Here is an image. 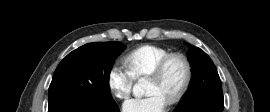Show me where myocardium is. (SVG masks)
<instances>
[{
  "label": "myocardium",
  "instance_id": "myocardium-1",
  "mask_svg": "<svg viewBox=\"0 0 270 112\" xmlns=\"http://www.w3.org/2000/svg\"><path fill=\"white\" fill-rule=\"evenodd\" d=\"M175 59H178L183 62L185 66V78L178 92L167 102L168 105H175L179 103L186 95L190 87L193 77V69L190 60L184 54L170 53L169 55L164 57L155 67V69L148 75V79L161 80L165 75V72L169 64Z\"/></svg>",
  "mask_w": 270,
  "mask_h": 112
}]
</instances>
